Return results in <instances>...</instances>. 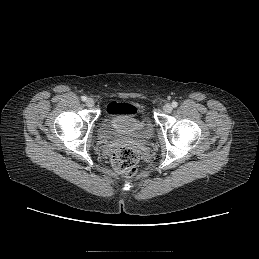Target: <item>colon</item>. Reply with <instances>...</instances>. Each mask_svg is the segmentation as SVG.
<instances>
[{"mask_svg": "<svg viewBox=\"0 0 259 259\" xmlns=\"http://www.w3.org/2000/svg\"><path fill=\"white\" fill-rule=\"evenodd\" d=\"M120 111L129 112L130 108L122 104ZM111 162L117 173L129 178L134 177L137 173L139 152L136 148L128 145L119 146L113 151Z\"/></svg>", "mask_w": 259, "mask_h": 259, "instance_id": "obj_1", "label": "colon"}]
</instances>
